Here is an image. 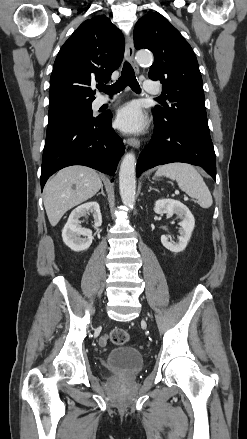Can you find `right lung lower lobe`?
<instances>
[{
	"label": "right lung lower lobe",
	"instance_id": "right-lung-lower-lobe-1",
	"mask_svg": "<svg viewBox=\"0 0 247 439\" xmlns=\"http://www.w3.org/2000/svg\"><path fill=\"white\" fill-rule=\"evenodd\" d=\"M111 122L112 114L108 113L48 130L43 150L41 189L52 174L71 165H85L114 175L125 148Z\"/></svg>",
	"mask_w": 247,
	"mask_h": 439
}]
</instances>
